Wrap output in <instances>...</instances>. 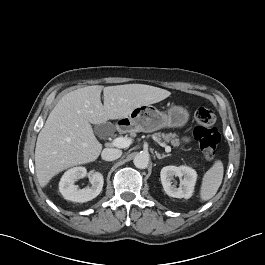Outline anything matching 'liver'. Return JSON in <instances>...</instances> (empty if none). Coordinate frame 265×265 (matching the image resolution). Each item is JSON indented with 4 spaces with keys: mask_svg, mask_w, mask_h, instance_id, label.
Here are the masks:
<instances>
[{
    "mask_svg": "<svg viewBox=\"0 0 265 265\" xmlns=\"http://www.w3.org/2000/svg\"><path fill=\"white\" fill-rule=\"evenodd\" d=\"M103 90L104 104L101 102ZM170 92L144 84L87 86L64 95L49 114L35 148V171L45 187L61 171L95 161L102 150L91 124L127 117L135 108L158 103Z\"/></svg>",
    "mask_w": 265,
    "mask_h": 265,
    "instance_id": "1",
    "label": "liver"
}]
</instances>
